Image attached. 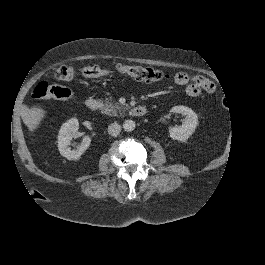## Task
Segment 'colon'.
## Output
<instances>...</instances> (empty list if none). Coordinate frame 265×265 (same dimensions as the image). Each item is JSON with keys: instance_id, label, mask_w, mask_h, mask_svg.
<instances>
[{"instance_id": "5ec220e1", "label": "colon", "mask_w": 265, "mask_h": 265, "mask_svg": "<svg viewBox=\"0 0 265 265\" xmlns=\"http://www.w3.org/2000/svg\"><path fill=\"white\" fill-rule=\"evenodd\" d=\"M116 71L145 82L162 81L168 77L166 73L160 70L143 66L118 65ZM111 72L112 71L109 69L101 68L96 65L86 66L82 70V74L89 78L102 77ZM73 76L74 71L69 66H61L57 68L54 73V77L60 81H70ZM33 97L39 100H69L72 97V92L66 87L49 84L47 82H40L33 90Z\"/></svg>"}]
</instances>
